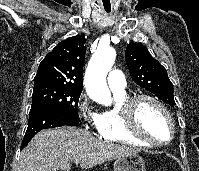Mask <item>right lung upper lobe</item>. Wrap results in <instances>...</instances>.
I'll use <instances>...</instances> for the list:
<instances>
[{"label":"right lung upper lobe","instance_id":"cb5924a9","mask_svg":"<svg viewBox=\"0 0 199 171\" xmlns=\"http://www.w3.org/2000/svg\"><path fill=\"white\" fill-rule=\"evenodd\" d=\"M85 43L81 35L60 42L41 61L34 83L51 82L82 89Z\"/></svg>","mask_w":199,"mask_h":171}]
</instances>
